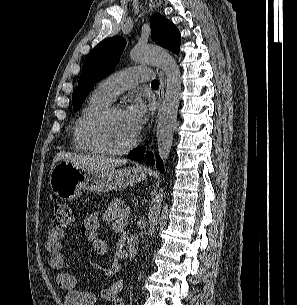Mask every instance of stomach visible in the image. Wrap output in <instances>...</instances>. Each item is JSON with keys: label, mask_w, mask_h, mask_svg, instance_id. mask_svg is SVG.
Segmentation results:
<instances>
[{"label": "stomach", "mask_w": 297, "mask_h": 305, "mask_svg": "<svg viewBox=\"0 0 297 305\" xmlns=\"http://www.w3.org/2000/svg\"><path fill=\"white\" fill-rule=\"evenodd\" d=\"M145 178L146 172L136 166L105 169L60 161L50 173L49 184L58 198L72 201L79 198L84 189L109 192L126 188Z\"/></svg>", "instance_id": "1"}]
</instances>
